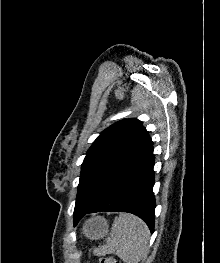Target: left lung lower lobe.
<instances>
[{
	"label": "left lung lower lobe",
	"instance_id": "1",
	"mask_svg": "<svg viewBox=\"0 0 220 263\" xmlns=\"http://www.w3.org/2000/svg\"><path fill=\"white\" fill-rule=\"evenodd\" d=\"M153 166L154 154L151 147L90 208L74 210V226L87 213L128 212L143 219L153 233L155 211L152 192Z\"/></svg>",
	"mask_w": 220,
	"mask_h": 263
}]
</instances>
